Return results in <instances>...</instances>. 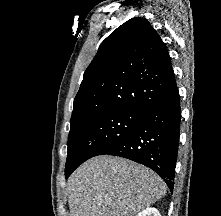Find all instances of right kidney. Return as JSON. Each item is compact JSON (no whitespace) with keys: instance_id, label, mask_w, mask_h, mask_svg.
<instances>
[{"instance_id":"ca27d5eb","label":"right kidney","mask_w":221,"mask_h":216,"mask_svg":"<svg viewBox=\"0 0 221 216\" xmlns=\"http://www.w3.org/2000/svg\"><path fill=\"white\" fill-rule=\"evenodd\" d=\"M136 216H161L159 211L154 207H148L141 212H139Z\"/></svg>"}]
</instances>
